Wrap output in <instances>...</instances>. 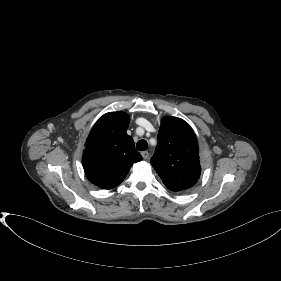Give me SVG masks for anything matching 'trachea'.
<instances>
[{
	"instance_id": "3493384b",
	"label": "trachea",
	"mask_w": 281,
	"mask_h": 281,
	"mask_svg": "<svg viewBox=\"0 0 281 281\" xmlns=\"http://www.w3.org/2000/svg\"><path fill=\"white\" fill-rule=\"evenodd\" d=\"M136 148H137V150H139V151H145V150H147V148H148V143H147V141L144 140V139L139 140V141L137 142V144H136Z\"/></svg>"
}]
</instances>
